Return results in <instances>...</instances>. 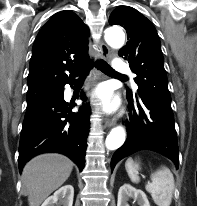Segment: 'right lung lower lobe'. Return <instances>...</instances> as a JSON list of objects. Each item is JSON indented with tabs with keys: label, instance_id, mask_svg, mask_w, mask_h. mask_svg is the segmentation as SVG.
<instances>
[{
	"label": "right lung lower lobe",
	"instance_id": "1",
	"mask_svg": "<svg viewBox=\"0 0 197 206\" xmlns=\"http://www.w3.org/2000/svg\"><path fill=\"white\" fill-rule=\"evenodd\" d=\"M63 93L64 87L54 97L26 109L19 145L20 171L32 157L46 152L68 156L82 171L91 110L89 105H83L72 113ZM80 99L86 100L83 92Z\"/></svg>",
	"mask_w": 197,
	"mask_h": 206
}]
</instances>
